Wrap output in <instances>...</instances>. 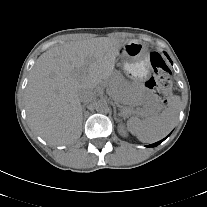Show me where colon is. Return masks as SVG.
Wrapping results in <instances>:
<instances>
[{"instance_id":"colon-1","label":"colon","mask_w":207,"mask_h":207,"mask_svg":"<svg viewBox=\"0 0 207 207\" xmlns=\"http://www.w3.org/2000/svg\"><path fill=\"white\" fill-rule=\"evenodd\" d=\"M149 62L152 68V77L147 84L152 91L153 101L158 105H162L170 96L171 71L158 52L150 53Z\"/></svg>"}]
</instances>
